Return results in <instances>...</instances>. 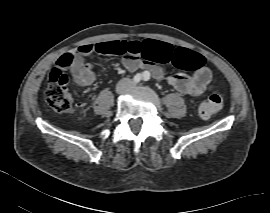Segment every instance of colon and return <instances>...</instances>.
<instances>
[{"instance_id":"5ec220e1","label":"colon","mask_w":270,"mask_h":213,"mask_svg":"<svg viewBox=\"0 0 270 213\" xmlns=\"http://www.w3.org/2000/svg\"><path fill=\"white\" fill-rule=\"evenodd\" d=\"M101 50L105 54L148 57L149 48L142 46L137 41H111L102 45ZM71 58L70 53H65L47 74L48 85L45 91V101L49 107L58 113H69L72 108L73 94L68 88L69 77L66 73L67 61ZM203 58L197 53H188L186 57L176 56L173 64L179 66L187 63L191 68L202 66ZM224 105L223 96L219 93L205 98L199 106V114L202 118H209L222 110Z\"/></svg>"}]
</instances>
